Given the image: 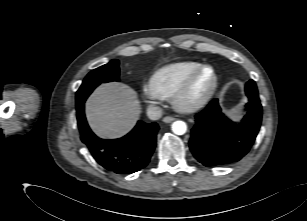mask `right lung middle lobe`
I'll use <instances>...</instances> for the list:
<instances>
[{"instance_id": "dd1d6c3e", "label": "right lung middle lobe", "mask_w": 307, "mask_h": 221, "mask_svg": "<svg viewBox=\"0 0 307 221\" xmlns=\"http://www.w3.org/2000/svg\"><path fill=\"white\" fill-rule=\"evenodd\" d=\"M119 81V61L114 59L97 69L92 70L83 80L76 93V106L84 104L91 92L103 82Z\"/></svg>"}]
</instances>
